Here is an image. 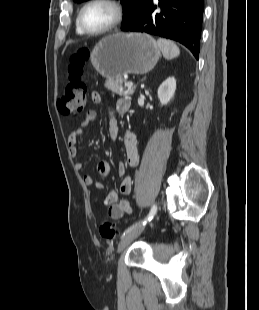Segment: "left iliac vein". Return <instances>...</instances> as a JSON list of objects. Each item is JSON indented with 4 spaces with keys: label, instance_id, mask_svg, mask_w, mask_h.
I'll return each mask as SVG.
<instances>
[{
    "label": "left iliac vein",
    "instance_id": "1",
    "mask_svg": "<svg viewBox=\"0 0 259 310\" xmlns=\"http://www.w3.org/2000/svg\"><path fill=\"white\" fill-rule=\"evenodd\" d=\"M146 224H140L135 227L132 231L122 237L118 245V252L123 251L130 243H132L145 229Z\"/></svg>",
    "mask_w": 259,
    "mask_h": 310
}]
</instances>
